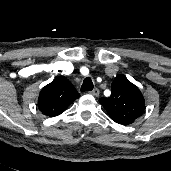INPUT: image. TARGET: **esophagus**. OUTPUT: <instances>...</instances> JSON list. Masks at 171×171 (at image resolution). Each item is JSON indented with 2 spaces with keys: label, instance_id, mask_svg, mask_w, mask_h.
I'll list each match as a JSON object with an SVG mask.
<instances>
[{
  "label": "esophagus",
  "instance_id": "34e87169",
  "mask_svg": "<svg viewBox=\"0 0 171 171\" xmlns=\"http://www.w3.org/2000/svg\"><path fill=\"white\" fill-rule=\"evenodd\" d=\"M90 94H92L95 97L99 96V89L98 88H94L92 91L89 92Z\"/></svg>",
  "mask_w": 171,
  "mask_h": 171
}]
</instances>
